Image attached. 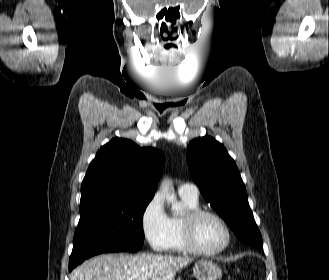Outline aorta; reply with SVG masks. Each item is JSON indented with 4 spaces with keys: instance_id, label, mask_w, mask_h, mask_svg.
Wrapping results in <instances>:
<instances>
[{
    "instance_id": "obj_1",
    "label": "aorta",
    "mask_w": 329,
    "mask_h": 280,
    "mask_svg": "<svg viewBox=\"0 0 329 280\" xmlns=\"http://www.w3.org/2000/svg\"><path fill=\"white\" fill-rule=\"evenodd\" d=\"M162 190L165 194L167 202L171 204L172 210L180 212L182 210V206L177 201L176 196L171 193L169 180L166 179L162 182Z\"/></svg>"
}]
</instances>
